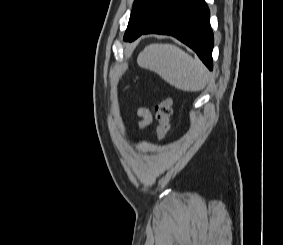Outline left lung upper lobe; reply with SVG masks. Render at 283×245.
Instances as JSON below:
<instances>
[{
  "mask_svg": "<svg viewBox=\"0 0 283 245\" xmlns=\"http://www.w3.org/2000/svg\"><path fill=\"white\" fill-rule=\"evenodd\" d=\"M174 0H135L130 15L125 41H133L148 28Z\"/></svg>",
  "mask_w": 283,
  "mask_h": 245,
  "instance_id": "5c2ea615",
  "label": "left lung upper lobe"
}]
</instances>
